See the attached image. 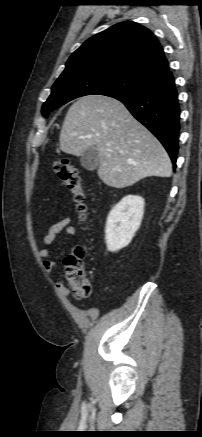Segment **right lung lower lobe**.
<instances>
[{
	"instance_id": "98d812e1",
	"label": "right lung lower lobe",
	"mask_w": 202,
	"mask_h": 437,
	"mask_svg": "<svg viewBox=\"0 0 202 437\" xmlns=\"http://www.w3.org/2000/svg\"><path fill=\"white\" fill-rule=\"evenodd\" d=\"M113 98L121 101L159 139L175 168L179 148L180 108L172 73L167 70L152 79L143 89Z\"/></svg>"
}]
</instances>
